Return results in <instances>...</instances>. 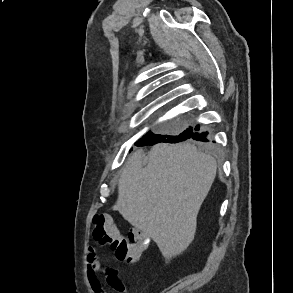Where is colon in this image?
<instances>
[{
	"label": "colon",
	"mask_w": 293,
	"mask_h": 293,
	"mask_svg": "<svg viewBox=\"0 0 293 293\" xmlns=\"http://www.w3.org/2000/svg\"><path fill=\"white\" fill-rule=\"evenodd\" d=\"M92 222L94 239L109 245L118 259L134 263L146 250L148 238L142 231L132 228L122 234L112 218L103 212L95 213Z\"/></svg>",
	"instance_id": "obj_1"
}]
</instances>
